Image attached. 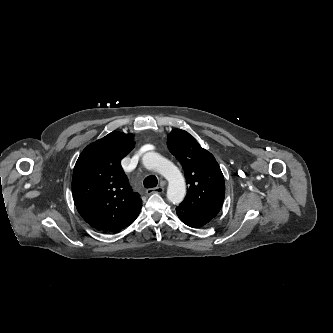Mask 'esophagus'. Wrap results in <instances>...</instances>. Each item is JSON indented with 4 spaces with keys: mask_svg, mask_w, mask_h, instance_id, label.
<instances>
[{
    "mask_svg": "<svg viewBox=\"0 0 333 333\" xmlns=\"http://www.w3.org/2000/svg\"><path fill=\"white\" fill-rule=\"evenodd\" d=\"M163 191H164V188L161 187V186H159V187H156V188H148V189L146 190V193H147L148 195L153 194V193L161 194V193H163Z\"/></svg>",
    "mask_w": 333,
    "mask_h": 333,
    "instance_id": "esophagus-1",
    "label": "esophagus"
}]
</instances>
